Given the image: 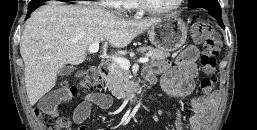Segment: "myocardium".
Wrapping results in <instances>:
<instances>
[{
    "instance_id": "myocardium-1",
    "label": "myocardium",
    "mask_w": 257,
    "mask_h": 130,
    "mask_svg": "<svg viewBox=\"0 0 257 130\" xmlns=\"http://www.w3.org/2000/svg\"><path fill=\"white\" fill-rule=\"evenodd\" d=\"M184 0H176L174 4L171 6L165 7V8H155L150 6L146 0H135L136 6L138 9L149 13V14H155V15H161V14H168L175 10H177L182 4Z\"/></svg>"
}]
</instances>
